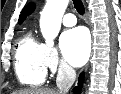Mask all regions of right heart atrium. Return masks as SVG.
Returning a JSON list of instances; mask_svg holds the SVG:
<instances>
[{"mask_svg":"<svg viewBox=\"0 0 121 94\" xmlns=\"http://www.w3.org/2000/svg\"><path fill=\"white\" fill-rule=\"evenodd\" d=\"M43 59L46 68L50 69L52 73H59L63 76L70 73L69 67L60 60L55 47L43 44Z\"/></svg>","mask_w":121,"mask_h":94,"instance_id":"1","label":"right heart atrium"}]
</instances>
